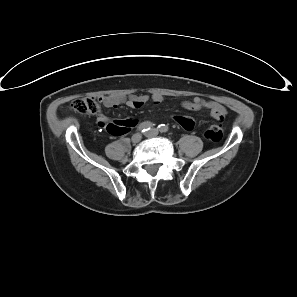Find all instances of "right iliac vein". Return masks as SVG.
<instances>
[{
  "instance_id": "1",
  "label": "right iliac vein",
  "mask_w": 297,
  "mask_h": 297,
  "mask_svg": "<svg viewBox=\"0 0 297 297\" xmlns=\"http://www.w3.org/2000/svg\"><path fill=\"white\" fill-rule=\"evenodd\" d=\"M141 139H142V135L140 133H136L132 136L131 140L134 144H137L140 142Z\"/></svg>"
}]
</instances>
